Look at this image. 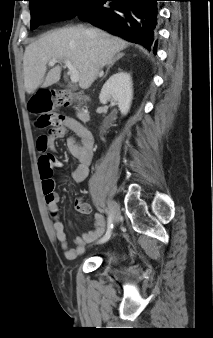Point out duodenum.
<instances>
[{
    "label": "duodenum",
    "mask_w": 213,
    "mask_h": 338,
    "mask_svg": "<svg viewBox=\"0 0 213 338\" xmlns=\"http://www.w3.org/2000/svg\"><path fill=\"white\" fill-rule=\"evenodd\" d=\"M77 116L83 122H89L90 121V113H89L88 109L83 105H79L77 107Z\"/></svg>",
    "instance_id": "410a0bca"
}]
</instances>
